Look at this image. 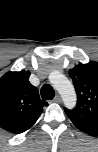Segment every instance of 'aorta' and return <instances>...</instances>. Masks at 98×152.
I'll use <instances>...</instances> for the list:
<instances>
[{"mask_svg": "<svg viewBox=\"0 0 98 152\" xmlns=\"http://www.w3.org/2000/svg\"><path fill=\"white\" fill-rule=\"evenodd\" d=\"M49 81L61 95L67 108H73L76 105V93L72 83L62 73L58 71L51 72Z\"/></svg>", "mask_w": 98, "mask_h": 152, "instance_id": "1", "label": "aorta"}]
</instances>
